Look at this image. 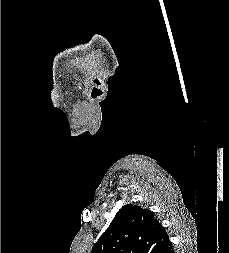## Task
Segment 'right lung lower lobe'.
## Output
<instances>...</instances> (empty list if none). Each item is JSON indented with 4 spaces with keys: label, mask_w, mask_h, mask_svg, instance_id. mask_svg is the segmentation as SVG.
Segmentation results:
<instances>
[{
    "label": "right lung lower lobe",
    "mask_w": 229,
    "mask_h": 253,
    "mask_svg": "<svg viewBox=\"0 0 229 253\" xmlns=\"http://www.w3.org/2000/svg\"><path fill=\"white\" fill-rule=\"evenodd\" d=\"M160 253H174L172 243L167 245Z\"/></svg>",
    "instance_id": "right-lung-lower-lobe-1"
}]
</instances>
